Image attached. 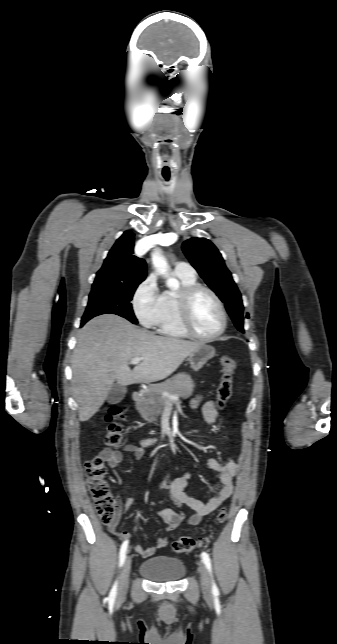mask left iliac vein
Listing matches in <instances>:
<instances>
[{"mask_svg": "<svg viewBox=\"0 0 337 644\" xmlns=\"http://www.w3.org/2000/svg\"><path fill=\"white\" fill-rule=\"evenodd\" d=\"M199 573H200L201 585H202L204 593L205 594H210L211 593V581H210V577H209V573L207 571V568L202 562H199Z\"/></svg>", "mask_w": 337, "mask_h": 644, "instance_id": "left-iliac-vein-1", "label": "left iliac vein"}]
</instances>
